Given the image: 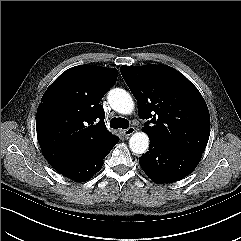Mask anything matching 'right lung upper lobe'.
I'll list each match as a JSON object with an SVG mask.
<instances>
[{
	"label": "right lung upper lobe",
	"instance_id": "cb5924a9",
	"mask_svg": "<svg viewBox=\"0 0 241 241\" xmlns=\"http://www.w3.org/2000/svg\"><path fill=\"white\" fill-rule=\"evenodd\" d=\"M116 68L76 66L47 89L36 114L38 142L55 169L89 159L116 136L104 123L102 97L117 80Z\"/></svg>",
	"mask_w": 241,
	"mask_h": 241
}]
</instances>
